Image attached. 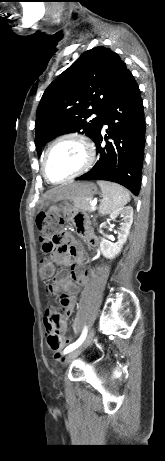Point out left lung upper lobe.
I'll return each instance as SVG.
<instances>
[{"mask_svg": "<svg viewBox=\"0 0 165 461\" xmlns=\"http://www.w3.org/2000/svg\"><path fill=\"white\" fill-rule=\"evenodd\" d=\"M126 64L103 46L83 53L45 90L36 113L37 151L58 135L80 132L94 139L121 84ZM97 116L91 119V115Z\"/></svg>", "mask_w": 165, "mask_h": 461, "instance_id": "5c2ea615", "label": "left lung upper lobe"}]
</instances>
